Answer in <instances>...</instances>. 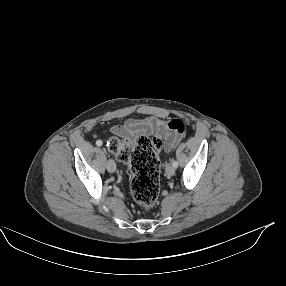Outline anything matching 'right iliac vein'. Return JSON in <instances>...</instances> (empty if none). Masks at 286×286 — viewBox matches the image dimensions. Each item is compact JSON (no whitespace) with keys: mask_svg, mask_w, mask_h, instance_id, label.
Segmentation results:
<instances>
[{"mask_svg":"<svg viewBox=\"0 0 286 286\" xmlns=\"http://www.w3.org/2000/svg\"><path fill=\"white\" fill-rule=\"evenodd\" d=\"M107 170L110 173H113L116 170V164L112 159L108 160V162H107Z\"/></svg>","mask_w":286,"mask_h":286,"instance_id":"1","label":"right iliac vein"}]
</instances>
